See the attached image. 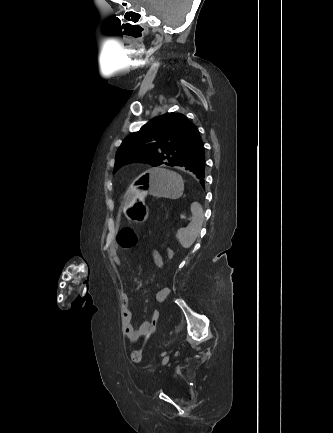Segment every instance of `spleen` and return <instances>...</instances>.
Masks as SVG:
<instances>
[{"mask_svg":"<svg viewBox=\"0 0 333 433\" xmlns=\"http://www.w3.org/2000/svg\"><path fill=\"white\" fill-rule=\"evenodd\" d=\"M192 220L186 228L177 232V238L184 248H189L196 240L203 223L202 208L198 203L191 206Z\"/></svg>","mask_w":333,"mask_h":433,"instance_id":"3e777b00","label":"spleen"}]
</instances>
